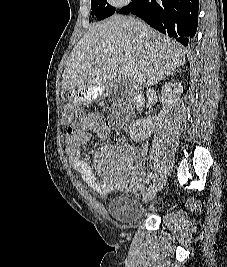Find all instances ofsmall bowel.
<instances>
[{
  "mask_svg": "<svg viewBox=\"0 0 227 267\" xmlns=\"http://www.w3.org/2000/svg\"><path fill=\"white\" fill-rule=\"evenodd\" d=\"M111 123L101 119L100 115L95 114L85 123L83 127L76 124L67 129L65 135V149L72 168L80 175L82 181L93 191L99 194H107L110 191L112 179L104 176V181L98 179L92 171L86 159L81 155L79 147L87 144L92 139L91 130L99 140H105L109 137ZM122 143V140H118ZM119 181L129 182L132 179L141 182L143 172L139 168L126 167L116 177ZM141 184L139 183V188Z\"/></svg>",
  "mask_w": 227,
  "mask_h": 267,
  "instance_id": "obj_1",
  "label": "small bowel"
}]
</instances>
